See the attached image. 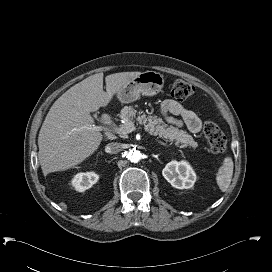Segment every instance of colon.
Here are the masks:
<instances>
[{
  "mask_svg": "<svg viewBox=\"0 0 272 272\" xmlns=\"http://www.w3.org/2000/svg\"><path fill=\"white\" fill-rule=\"evenodd\" d=\"M193 92L191 84L185 81H176L170 88V95L177 100L187 99ZM203 134L208 141L210 150L214 154H222L227 148V139L217 124L212 121L206 122Z\"/></svg>",
  "mask_w": 272,
  "mask_h": 272,
  "instance_id": "colon-1",
  "label": "colon"
}]
</instances>
